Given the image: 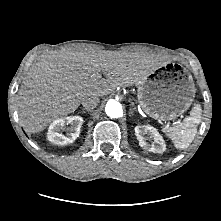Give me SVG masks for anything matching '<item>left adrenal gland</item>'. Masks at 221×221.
<instances>
[{"label":"left adrenal gland","instance_id":"a2214340","mask_svg":"<svg viewBox=\"0 0 221 221\" xmlns=\"http://www.w3.org/2000/svg\"><path fill=\"white\" fill-rule=\"evenodd\" d=\"M134 110H136V108L134 107V103L131 101L130 114H133Z\"/></svg>","mask_w":221,"mask_h":221}]
</instances>
